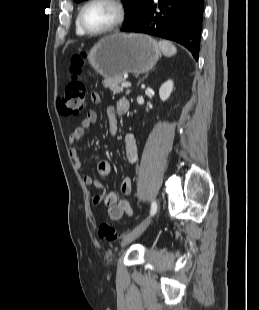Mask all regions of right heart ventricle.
<instances>
[{
  "label": "right heart ventricle",
  "instance_id": "obj_1",
  "mask_svg": "<svg viewBox=\"0 0 259 310\" xmlns=\"http://www.w3.org/2000/svg\"><path fill=\"white\" fill-rule=\"evenodd\" d=\"M75 31H76V34L79 35V36H84L86 35L82 29L80 28L79 24H78V21L76 20V23H75Z\"/></svg>",
  "mask_w": 259,
  "mask_h": 310
}]
</instances>
